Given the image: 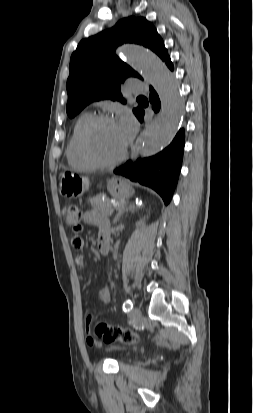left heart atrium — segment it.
<instances>
[{
  "label": "left heart atrium",
  "instance_id": "left-heart-atrium-1",
  "mask_svg": "<svg viewBox=\"0 0 253 413\" xmlns=\"http://www.w3.org/2000/svg\"><path fill=\"white\" fill-rule=\"evenodd\" d=\"M117 124L121 131L124 143L127 144L128 141L132 138L136 128L132 116L128 113L122 114Z\"/></svg>",
  "mask_w": 253,
  "mask_h": 413
}]
</instances>
